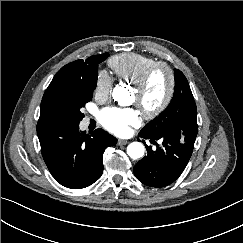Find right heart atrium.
Returning a JSON list of instances; mask_svg holds the SVG:
<instances>
[{
	"mask_svg": "<svg viewBox=\"0 0 243 243\" xmlns=\"http://www.w3.org/2000/svg\"><path fill=\"white\" fill-rule=\"evenodd\" d=\"M113 86V79L105 70L98 71L95 78L94 93L99 99L109 96Z\"/></svg>",
	"mask_w": 243,
	"mask_h": 243,
	"instance_id": "right-heart-atrium-1",
	"label": "right heart atrium"
}]
</instances>
